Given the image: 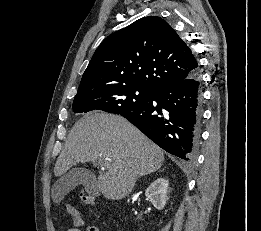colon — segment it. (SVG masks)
<instances>
[{
  "instance_id": "colon-1",
  "label": "colon",
  "mask_w": 261,
  "mask_h": 231,
  "mask_svg": "<svg viewBox=\"0 0 261 231\" xmlns=\"http://www.w3.org/2000/svg\"><path fill=\"white\" fill-rule=\"evenodd\" d=\"M82 199H83V201H84L86 204H89V205H94V204H95L94 198H92V197H90V196H83Z\"/></svg>"
}]
</instances>
